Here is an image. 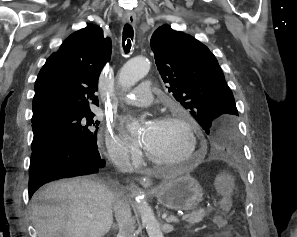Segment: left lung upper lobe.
Listing matches in <instances>:
<instances>
[{
	"label": "left lung upper lobe",
	"mask_w": 297,
	"mask_h": 237,
	"mask_svg": "<svg viewBox=\"0 0 297 237\" xmlns=\"http://www.w3.org/2000/svg\"><path fill=\"white\" fill-rule=\"evenodd\" d=\"M150 45L169 92L209 135V151L219 157L240 156L238 110L215 56L197 39L168 25L153 33Z\"/></svg>",
	"instance_id": "5c2ea615"
}]
</instances>
